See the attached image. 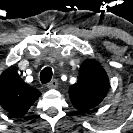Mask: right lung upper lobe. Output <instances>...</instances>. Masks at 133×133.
<instances>
[{
	"label": "right lung upper lobe",
	"instance_id": "right-lung-upper-lobe-1",
	"mask_svg": "<svg viewBox=\"0 0 133 133\" xmlns=\"http://www.w3.org/2000/svg\"><path fill=\"white\" fill-rule=\"evenodd\" d=\"M40 95L14 70L7 69L0 75V105L11 114L22 117Z\"/></svg>",
	"mask_w": 133,
	"mask_h": 133
}]
</instances>
